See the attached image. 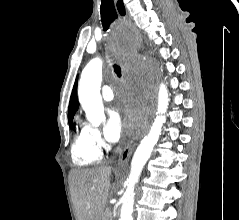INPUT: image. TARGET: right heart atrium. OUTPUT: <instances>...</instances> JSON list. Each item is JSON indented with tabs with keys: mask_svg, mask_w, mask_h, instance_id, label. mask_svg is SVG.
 <instances>
[{
	"mask_svg": "<svg viewBox=\"0 0 239 220\" xmlns=\"http://www.w3.org/2000/svg\"><path fill=\"white\" fill-rule=\"evenodd\" d=\"M88 133H89V138L92 144L95 146V148H97L100 152L106 148V144L98 128L93 126H88Z\"/></svg>",
	"mask_w": 239,
	"mask_h": 220,
	"instance_id": "d8ad5b80",
	"label": "right heart atrium"
}]
</instances>
